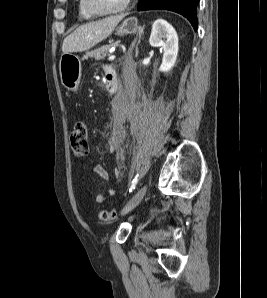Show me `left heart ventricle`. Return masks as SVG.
Here are the masks:
<instances>
[{
  "label": "left heart ventricle",
  "instance_id": "obj_1",
  "mask_svg": "<svg viewBox=\"0 0 267 298\" xmlns=\"http://www.w3.org/2000/svg\"><path fill=\"white\" fill-rule=\"evenodd\" d=\"M93 7L100 11H114L121 7L125 0H90Z\"/></svg>",
  "mask_w": 267,
  "mask_h": 298
}]
</instances>
